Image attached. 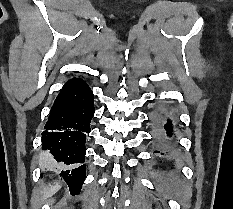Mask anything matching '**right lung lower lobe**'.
Instances as JSON below:
<instances>
[{
    "instance_id": "obj_1",
    "label": "right lung lower lobe",
    "mask_w": 233,
    "mask_h": 209,
    "mask_svg": "<svg viewBox=\"0 0 233 209\" xmlns=\"http://www.w3.org/2000/svg\"><path fill=\"white\" fill-rule=\"evenodd\" d=\"M93 94L89 86L79 78L69 80L60 91L51 108L43 146L50 150L58 162L65 164L61 176L72 194L80 192L85 180V140L90 132L94 115Z\"/></svg>"
}]
</instances>
